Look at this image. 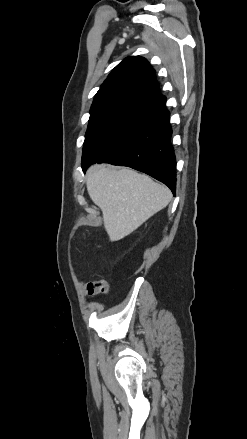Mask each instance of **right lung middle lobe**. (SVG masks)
Here are the masks:
<instances>
[{
    "instance_id": "right-lung-middle-lobe-1",
    "label": "right lung middle lobe",
    "mask_w": 247,
    "mask_h": 439,
    "mask_svg": "<svg viewBox=\"0 0 247 439\" xmlns=\"http://www.w3.org/2000/svg\"><path fill=\"white\" fill-rule=\"evenodd\" d=\"M154 114L125 103H109L91 108L83 145L82 167L96 163L122 144Z\"/></svg>"
}]
</instances>
